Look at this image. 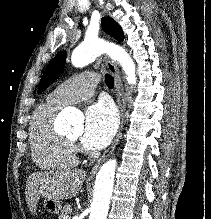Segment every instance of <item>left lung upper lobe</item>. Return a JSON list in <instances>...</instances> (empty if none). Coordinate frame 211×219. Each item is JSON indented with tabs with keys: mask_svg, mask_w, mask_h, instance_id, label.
Segmentation results:
<instances>
[{
	"mask_svg": "<svg viewBox=\"0 0 211 219\" xmlns=\"http://www.w3.org/2000/svg\"><path fill=\"white\" fill-rule=\"evenodd\" d=\"M103 30L114 37L118 41H123L124 35L121 26L112 18H102ZM67 57L66 51L59 52L47 66L42 75L38 91L39 93L46 89L51 83L54 82L62 73Z\"/></svg>",
	"mask_w": 211,
	"mask_h": 219,
	"instance_id": "5c2ea615",
	"label": "left lung upper lobe"
}]
</instances>
